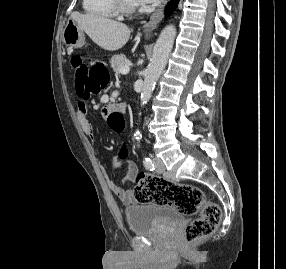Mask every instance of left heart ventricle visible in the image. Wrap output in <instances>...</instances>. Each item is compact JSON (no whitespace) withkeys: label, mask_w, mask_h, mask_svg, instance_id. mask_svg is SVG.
<instances>
[{"label":"left heart ventricle","mask_w":286,"mask_h":269,"mask_svg":"<svg viewBox=\"0 0 286 269\" xmlns=\"http://www.w3.org/2000/svg\"><path fill=\"white\" fill-rule=\"evenodd\" d=\"M130 4H137L135 0H127Z\"/></svg>","instance_id":"b2bd125f"}]
</instances>
